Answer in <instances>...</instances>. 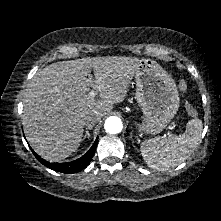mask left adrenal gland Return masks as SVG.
Returning a JSON list of instances; mask_svg holds the SVG:
<instances>
[{"mask_svg":"<svg viewBox=\"0 0 221 221\" xmlns=\"http://www.w3.org/2000/svg\"><path fill=\"white\" fill-rule=\"evenodd\" d=\"M130 137L132 138V133H130Z\"/></svg>","mask_w":221,"mask_h":221,"instance_id":"a2214340","label":"left adrenal gland"}]
</instances>
